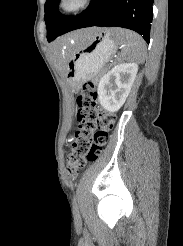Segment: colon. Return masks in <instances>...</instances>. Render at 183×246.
Segmentation results:
<instances>
[{"label":"colon","mask_w":183,"mask_h":246,"mask_svg":"<svg viewBox=\"0 0 183 246\" xmlns=\"http://www.w3.org/2000/svg\"><path fill=\"white\" fill-rule=\"evenodd\" d=\"M78 128L70 143L67 172L75 177L87 161H94L107 144L115 123V115L103 112L97 105V91L93 83H85L77 97Z\"/></svg>","instance_id":"colon-1"}]
</instances>
